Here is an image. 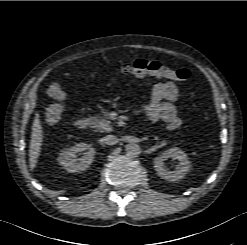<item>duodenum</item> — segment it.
Wrapping results in <instances>:
<instances>
[{
  "label": "duodenum",
  "instance_id": "obj_1",
  "mask_svg": "<svg viewBox=\"0 0 247 245\" xmlns=\"http://www.w3.org/2000/svg\"><path fill=\"white\" fill-rule=\"evenodd\" d=\"M75 125L78 129H86L90 125V120L86 117H81L76 120Z\"/></svg>",
  "mask_w": 247,
  "mask_h": 245
}]
</instances>
